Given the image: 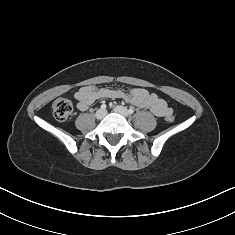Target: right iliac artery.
Returning a JSON list of instances; mask_svg holds the SVG:
<instances>
[{
	"label": "right iliac artery",
	"mask_w": 235,
	"mask_h": 235,
	"mask_svg": "<svg viewBox=\"0 0 235 235\" xmlns=\"http://www.w3.org/2000/svg\"><path fill=\"white\" fill-rule=\"evenodd\" d=\"M101 109L105 110V109H106V105H105V104H102V105H101Z\"/></svg>",
	"instance_id": "right-iliac-artery-1"
}]
</instances>
